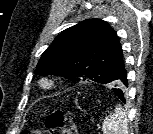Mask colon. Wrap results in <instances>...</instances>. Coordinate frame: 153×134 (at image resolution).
<instances>
[{
	"label": "colon",
	"mask_w": 153,
	"mask_h": 134,
	"mask_svg": "<svg viewBox=\"0 0 153 134\" xmlns=\"http://www.w3.org/2000/svg\"><path fill=\"white\" fill-rule=\"evenodd\" d=\"M46 134H78L74 124L63 111L50 114L45 120ZM23 134H44L41 131H25Z\"/></svg>",
	"instance_id": "1"
}]
</instances>
